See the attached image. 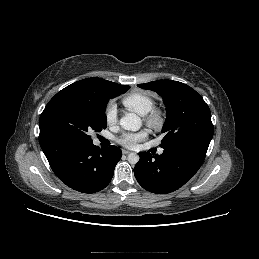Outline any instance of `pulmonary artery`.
<instances>
[{
  "instance_id": "pulmonary-artery-1",
  "label": "pulmonary artery",
  "mask_w": 259,
  "mask_h": 259,
  "mask_svg": "<svg viewBox=\"0 0 259 259\" xmlns=\"http://www.w3.org/2000/svg\"><path fill=\"white\" fill-rule=\"evenodd\" d=\"M158 153L162 154L163 153V149H159Z\"/></svg>"
}]
</instances>
